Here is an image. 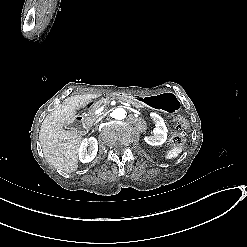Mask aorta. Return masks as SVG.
I'll return each mask as SVG.
<instances>
[{
	"label": "aorta",
	"instance_id": "aorta-1",
	"mask_svg": "<svg viewBox=\"0 0 247 247\" xmlns=\"http://www.w3.org/2000/svg\"><path fill=\"white\" fill-rule=\"evenodd\" d=\"M126 110L124 108H116L113 110V112L111 113V116L114 118V119H117V120H122L124 118H126Z\"/></svg>",
	"mask_w": 247,
	"mask_h": 247
}]
</instances>
